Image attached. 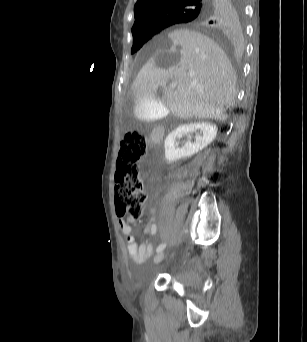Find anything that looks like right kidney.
Listing matches in <instances>:
<instances>
[{
  "instance_id": "obj_1",
  "label": "right kidney",
  "mask_w": 307,
  "mask_h": 342,
  "mask_svg": "<svg viewBox=\"0 0 307 342\" xmlns=\"http://www.w3.org/2000/svg\"><path fill=\"white\" fill-rule=\"evenodd\" d=\"M195 130H200L201 136H196L193 144L192 142H186L184 148H178L176 138H183L184 134L195 132ZM217 132V126L212 124V122H195V124L179 126V128L173 130L171 134H168L164 142L165 158L168 164L177 162V160H181V158H190L193 154H197L199 150H203V148H206L208 144L213 142Z\"/></svg>"
}]
</instances>
